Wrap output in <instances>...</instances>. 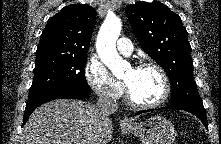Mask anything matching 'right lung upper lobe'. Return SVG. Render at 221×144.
Masks as SVG:
<instances>
[{
	"mask_svg": "<svg viewBox=\"0 0 221 144\" xmlns=\"http://www.w3.org/2000/svg\"><path fill=\"white\" fill-rule=\"evenodd\" d=\"M95 15V9L86 4L64 7L58 14L49 18L36 55H87L96 22Z\"/></svg>",
	"mask_w": 221,
	"mask_h": 144,
	"instance_id": "right-lung-upper-lobe-1",
	"label": "right lung upper lobe"
}]
</instances>
